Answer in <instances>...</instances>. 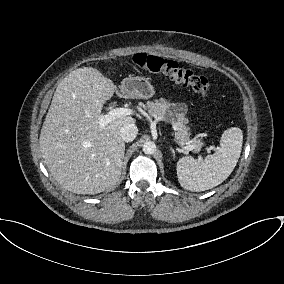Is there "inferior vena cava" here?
I'll return each mask as SVG.
<instances>
[{"mask_svg":"<svg viewBox=\"0 0 284 284\" xmlns=\"http://www.w3.org/2000/svg\"><path fill=\"white\" fill-rule=\"evenodd\" d=\"M138 128L134 123H126L120 129L121 138L125 142H131L136 138Z\"/></svg>","mask_w":284,"mask_h":284,"instance_id":"1","label":"inferior vena cava"}]
</instances>
